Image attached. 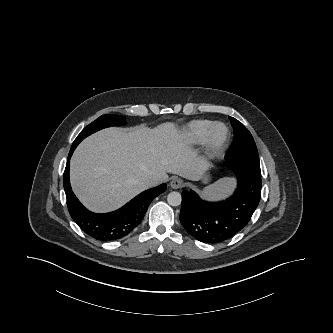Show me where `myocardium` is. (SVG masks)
Here are the masks:
<instances>
[{"instance_id":"obj_1","label":"myocardium","mask_w":333,"mask_h":333,"mask_svg":"<svg viewBox=\"0 0 333 333\" xmlns=\"http://www.w3.org/2000/svg\"><path fill=\"white\" fill-rule=\"evenodd\" d=\"M222 129V134L217 135V130ZM230 132L228 127L223 123H214L206 138V155L209 158H214L221 154L226 148L229 141Z\"/></svg>"}]
</instances>
